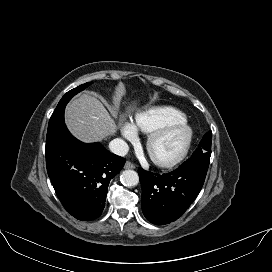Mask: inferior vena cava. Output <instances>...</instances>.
Returning <instances> with one entry per match:
<instances>
[{
	"mask_svg": "<svg viewBox=\"0 0 272 272\" xmlns=\"http://www.w3.org/2000/svg\"><path fill=\"white\" fill-rule=\"evenodd\" d=\"M109 148L112 153L119 155V156H125L129 150L127 143L124 140L119 139V138L112 140L109 143Z\"/></svg>",
	"mask_w": 272,
	"mask_h": 272,
	"instance_id": "602c4592",
	"label": "inferior vena cava"
}]
</instances>
